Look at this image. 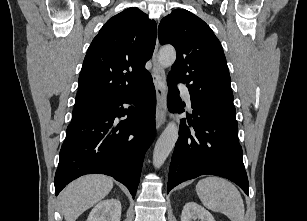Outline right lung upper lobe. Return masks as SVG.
<instances>
[{"mask_svg":"<svg viewBox=\"0 0 307 221\" xmlns=\"http://www.w3.org/2000/svg\"><path fill=\"white\" fill-rule=\"evenodd\" d=\"M157 27L138 8L110 18L89 46L79 76L75 106L106 104L139 90L150 73Z\"/></svg>","mask_w":307,"mask_h":221,"instance_id":"1","label":"right lung upper lobe"}]
</instances>
